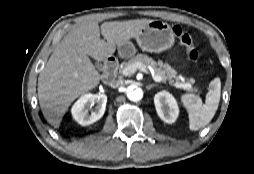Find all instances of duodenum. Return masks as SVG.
<instances>
[{
  "mask_svg": "<svg viewBox=\"0 0 254 174\" xmlns=\"http://www.w3.org/2000/svg\"><path fill=\"white\" fill-rule=\"evenodd\" d=\"M118 62L114 57H108L104 64L103 82L113 83L116 80Z\"/></svg>",
  "mask_w": 254,
  "mask_h": 174,
  "instance_id": "obj_1",
  "label": "duodenum"
}]
</instances>
